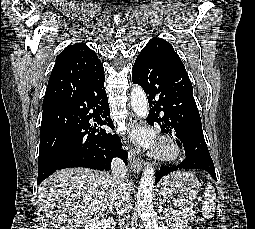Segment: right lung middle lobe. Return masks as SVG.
Here are the masks:
<instances>
[{
	"mask_svg": "<svg viewBox=\"0 0 255 229\" xmlns=\"http://www.w3.org/2000/svg\"><path fill=\"white\" fill-rule=\"evenodd\" d=\"M72 125L73 119L69 117H62L45 123L41 128L39 164L44 167H51L56 163Z\"/></svg>",
	"mask_w": 255,
	"mask_h": 229,
	"instance_id": "right-lung-middle-lobe-1",
	"label": "right lung middle lobe"
}]
</instances>
